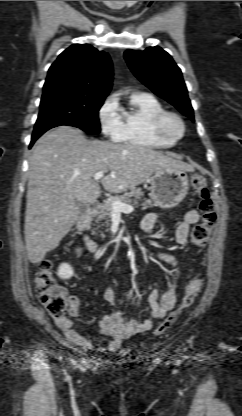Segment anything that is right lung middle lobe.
Returning a JSON list of instances; mask_svg holds the SVG:
<instances>
[{
    "label": "right lung middle lobe",
    "mask_w": 242,
    "mask_h": 416,
    "mask_svg": "<svg viewBox=\"0 0 242 416\" xmlns=\"http://www.w3.org/2000/svg\"><path fill=\"white\" fill-rule=\"evenodd\" d=\"M103 102L104 98L69 94L43 96L33 135H41L60 125L74 126L88 133L98 134V111Z\"/></svg>",
    "instance_id": "obj_1"
}]
</instances>
